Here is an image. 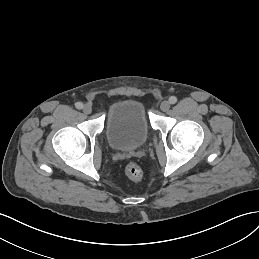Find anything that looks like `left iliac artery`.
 I'll return each instance as SVG.
<instances>
[{"mask_svg":"<svg viewBox=\"0 0 259 259\" xmlns=\"http://www.w3.org/2000/svg\"><path fill=\"white\" fill-rule=\"evenodd\" d=\"M169 102H170V104H175L177 102V98L175 96H171L169 98Z\"/></svg>","mask_w":259,"mask_h":259,"instance_id":"obj_1","label":"left iliac artery"}]
</instances>
